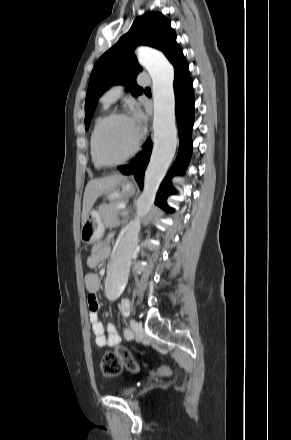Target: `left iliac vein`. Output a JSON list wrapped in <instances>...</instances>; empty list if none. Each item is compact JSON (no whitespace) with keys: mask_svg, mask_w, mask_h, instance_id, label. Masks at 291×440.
Segmentation results:
<instances>
[{"mask_svg":"<svg viewBox=\"0 0 291 440\" xmlns=\"http://www.w3.org/2000/svg\"><path fill=\"white\" fill-rule=\"evenodd\" d=\"M130 326H131V330L134 335V338L137 341H141L144 337V330H143V327L141 326V324H139L138 322H136L134 320H131Z\"/></svg>","mask_w":291,"mask_h":440,"instance_id":"obj_1","label":"left iliac vein"}]
</instances>
